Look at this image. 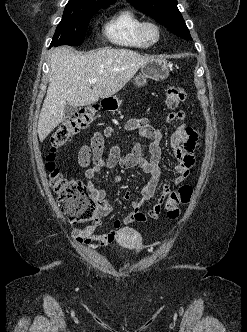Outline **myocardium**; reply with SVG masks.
Wrapping results in <instances>:
<instances>
[{
	"label": "myocardium",
	"instance_id": "obj_1",
	"mask_svg": "<svg viewBox=\"0 0 247 332\" xmlns=\"http://www.w3.org/2000/svg\"><path fill=\"white\" fill-rule=\"evenodd\" d=\"M148 29H153L155 36L149 37ZM139 35L141 39L148 45L156 44L161 38V29L159 25L153 21H143L139 26Z\"/></svg>",
	"mask_w": 247,
	"mask_h": 332
}]
</instances>
